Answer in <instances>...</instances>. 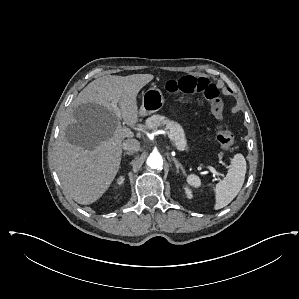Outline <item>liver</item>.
Returning <instances> with one entry per match:
<instances>
[{"label": "liver", "mask_w": 299, "mask_h": 299, "mask_svg": "<svg viewBox=\"0 0 299 299\" xmlns=\"http://www.w3.org/2000/svg\"><path fill=\"white\" fill-rule=\"evenodd\" d=\"M151 74L109 75L90 82L73 100L59 135L56 170L77 203L97 201L118 173L122 141L134 137L137 95ZM116 103L119 113L112 107Z\"/></svg>", "instance_id": "6515ba94"}]
</instances>
